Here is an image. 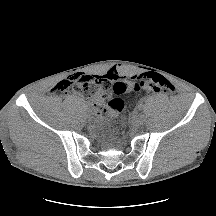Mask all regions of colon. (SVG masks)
I'll use <instances>...</instances> for the list:
<instances>
[{
    "label": "colon",
    "instance_id": "colon-1",
    "mask_svg": "<svg viewBox=\"0 0 216 216\" xmlns=\"http://www.w3.org/2000/svg\"><path fill=\"white\" fill-rule=\"evenodd\" d=\"M141 89L147 92L171 94L174 86L166 78L157 74H147L132 80H116L114 83H111L106 76L75 74L55 86V90L59 92H70L86 98L101 95L104 100H107L101 110L108 120L117 117L124 109V102L118 95ZM112 92L117 97L111 98Z\"/></svg>",
    "mask_w": 216,
    "mask_h": 216
}]
</instances>
